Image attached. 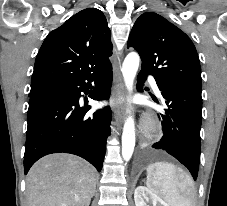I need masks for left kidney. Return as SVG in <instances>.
Wrapping results in <instances>:
<instances>
[{
	"mask_svg": "<svg viewBox=\"0 0 227 206\" xmlns=\"http://www.w3.org/2000/svg\"><path fill=\"white\" fill-rule=\"evenodd\" d=\"M134 201L136 206H149L147 203L152 202L153 206H169L156 193L145 186H138L134 192Z\"/></svg>",
	"mask_w": 227,
	"mask_h": 206,
	"instance_id": "1",
	"label": "left kidney"
}]
</instances>
